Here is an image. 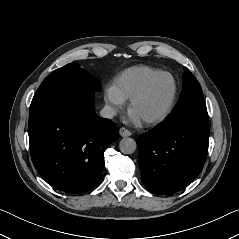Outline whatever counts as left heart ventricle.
Returning <instances> with one entry per match:
<instances>
[{
  "mask_svg": "<svg viewBox=\"0 0 239 239\" xmlns=\"http://www.w3.org/2000/svg\"><path fill=\"white\" fill-rule=\"evenodd\" d=\"M172 89L173 86L170 78L166 76L158 78L147 92L131 107V111L141 119L159 113L167 105L172 94Z\"/></svg>",
  "mask_w": 239,
  "mask_h": 239,
  "instance_id": "1",
  "label": "left heart ventricle"
}]
</instances>
